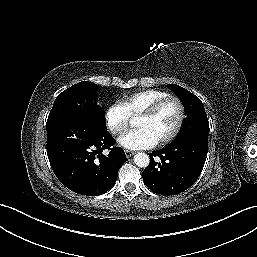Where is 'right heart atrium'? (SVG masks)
<instances>
[{
	"label": "right heart atrium",
	"instance_id": "d8ad5b80",
	"mask_svg": "<svg viewBox=\"0 0 257 257\" xmlns=\"http://www.w3.org/2000/svg\"><path fill=\"white\" fill-rule=\"evenodd\" d=\"M104 117L109 131L115 136L126 132L131 123V115L121 101L110 104Z\"/></svg>",
	"mask_w": 257,
	"mask_h": 257
}]
</instances>
